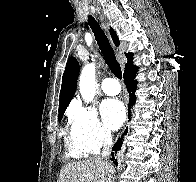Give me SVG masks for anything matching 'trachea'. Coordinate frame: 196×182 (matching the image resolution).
Masks as SVG:
<instances>
[{"mask_svg":"<svg viewBox=\"0 0 196 182\" xmlns=\"http://www.w3.org/2000/svg\"><path fill=\"white\" fill-rule=\"evenodd\" d=\"M88 22L92 32L94 33L95 39L99 46V49L109 66L111 72L119 79H122V71L120 64L118 63L113 48L111 47L108 38L106 37L104 31L101 29L97 21L89 16Z\"/></svg>","mask_w":196,"mask_h":182,"instance_id":"trachea-1","label":"trachea"}]
</instances>
